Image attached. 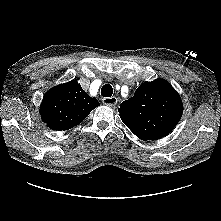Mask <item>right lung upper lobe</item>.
Returning a JSON list of instances; mask_svg holds the SVG:
<instances>
[{"mask_svg":"<svg viewBox=\"0 0 221 221\" xmlns=\"http://www.w3.org/2000/svg\"><path fill=\"white\" fill-rule=\"evenodd\" d=\"M99 103L72 80L50 89L40 107L43 122L53 130H68L81 123Z\"/></svg>","mask_w":221,"mask_h":221,"instance_id":"cb5924a9","label":"right lung upper lobe"}]
</instances>
